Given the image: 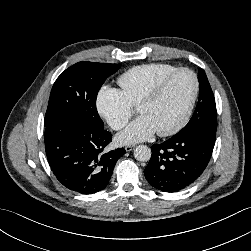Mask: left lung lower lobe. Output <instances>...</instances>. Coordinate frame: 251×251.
Listing matches in <instances>:
<instances>
[{
	"label": "left lung lower lobe",
	"mask_w": 251,
	"mask_h": 251,
	"mask_svg": "<svg viewBox=\"0 0 251 251\" xmlns=\"http://www.w3.org/2000/svg\"><path fill=\"white\" fill-rule=\"evenodd\" d=\"M216 133L196 129L174 135L151 147L152 156L144 170L149 184L163 192H178L195 182L207 167Z\"/></svg>",
	"instance_id": "left-lung-lower-lobe-1"
}]
</instances>
